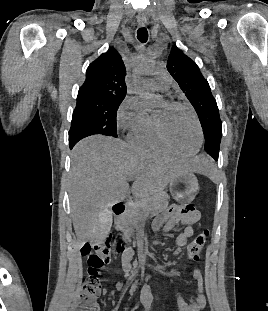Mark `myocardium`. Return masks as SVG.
Here are the masks:
<instances>
[{
	"label": "myocardium",
	"mask_w": 268,
	"mask_h": 311,
	"mask_svg": "<svg viewBox=\"0 0 268 311\" xmlns=\"http://www.w3.org/2000/svg\"><path fill=\"white\" fill-rule=\"evenodd\" d=\"M166 105L169 108L183 109V110L187 111L192 116V118L196 124L197 130H198L199 140H198V145L194 151L187 153V152H183V151L179 150L168 139V137L165 133V130H164L162 118L159 114L156 113L154 115L155 116V123H156V130H157V134H158L160 140L169 150H171V151H173V152H175L181 156L191 157V156L196 155L200 151L202 144H203V140H204L203 129H202V126H201V123H200V120H199L197 114L194 112V110L192 108H190L189 106H187L183 103H180V102L168 101V102H166Z\"/></svg>",
	"instance_id": "1"
}]
</instances>
